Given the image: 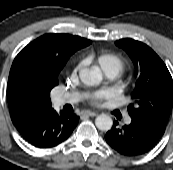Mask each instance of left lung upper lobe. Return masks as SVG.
I'll return each instance as SVG.
<instances>
[{"label": "left lung upper lobe", "mask_w": 173, "mask_h": 170, "mask_svg": "<svg viewBox=\"0 0 173 170\" xmlns=\"http://www.w3.org/2000/svg\"><path fill=\"white\" fill-rule=\"evenodd\" d=\"M115 44L128 53L136 71L137 81L128 113L131 118L146 120L165 130L173 106V82L166 65L140 41L126 38Z\"/></svg>", "instance_id": "left-lung-upper-lobe-1"}]
</instances>
